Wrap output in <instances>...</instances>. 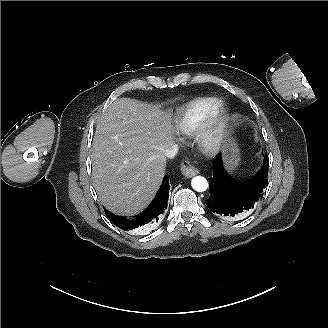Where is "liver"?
<instances>
[{
  "instance_id": "liver-1",
  "label": "liver",
  "mask_w": 328,
  "mask_h": 328,
  "mask_svg": "<svg viewBox=\"0 0 328 328\" xmlns=\"http://www.w3.org/2000/svg\"><path fill=\"white\" fill-rule=\"evenodd\" d=\"M158 106L115 100L97 120L91 156L93 187L103 205L131 215L153 199L165 173L164 152L180 120Z\"/></svg>"
}]
</instances>
